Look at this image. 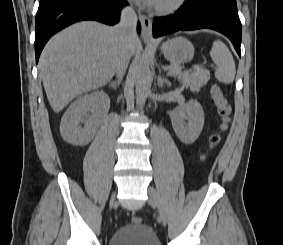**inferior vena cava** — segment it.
I'll use <instances>...</instances> for the list:
<instances>
[{
  "mask_svg": "<svg viewBox=\"0 0 283 245\" xmlns=\"http://www.w3.org/2000/svg\"><path fill=\"white\" fill-rule=\"evenodd\" d=\"M136 21L137 17L135 11L130 7H126L121 12L120 23L115 27L123 43L115 71L118 78L124 75L130 60L128 45L135 38Z\"/></svg>",
  "mask_w": 283,
  "mask_h": 245,
  "instance_id": "1",
  "label": "inferior vena cava"
}]
</instances>
